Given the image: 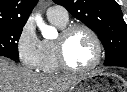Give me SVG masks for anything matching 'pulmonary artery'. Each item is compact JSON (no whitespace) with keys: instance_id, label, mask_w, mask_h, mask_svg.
Masks as SVG:
<instances>
[{"instance_id":"e3ab8cb5","label":"pulmonary artery","mask_w":127,"mask_h":92,"mask_svg":"<svg viewBox=\"0 0 127 92\" xmlns=\"http://www.w3.org/2000/svg\"><path fill=\"white\" fill-rule=\"evenodd\" d=\"M47 15L49 17H56L62 20H68V13L65 8L61 6H51L47 10Z\"/></svg>"}]
</instances>
